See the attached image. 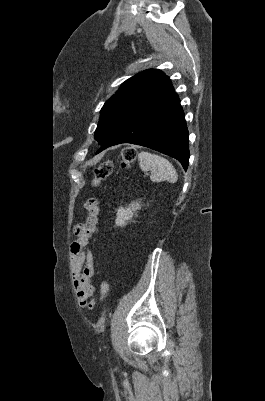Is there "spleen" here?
<instances>
[{
	"mask_svg": "<svg viewBox=\"0 0 265 401\" xmlns=\"http://www.w3.org/2000/svg\"><path fill=\"white\" fill-rule=\"evenodd\" d=\"M139 166L142 170H151V180L153 182H161V180H168V182H176L178 174L171 162L163 156L158 154H151L142 150L138 154Z\"/></svg>",
	"mask_w": 265,
	"mask_h": 401,
	"instance_id": "3e777b00",
	"label": "spleen"
}]
</instances>
